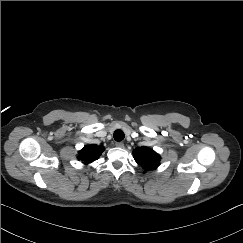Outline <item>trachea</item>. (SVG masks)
I'll return each mask as SVG.
<instances>
[{"label": "trachea", "mask_w": 243, "mask_h": 243, "mask_svg": "<svg viewBox=\"0 0 243 243\" xmlns=\"http://www.w3.org/2000/svg\"><path fill=\"white\" fill-rule=\"evenodd\" d=\"M114 139L116 140V141H121V140H123L124 139V137H125V134H124V132L122 131V130H120V129H117L115 132H114Z\"/></svg>", "instance_id": "3493384b"}]
</instances>
